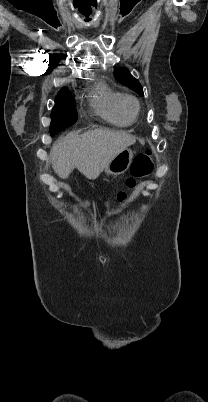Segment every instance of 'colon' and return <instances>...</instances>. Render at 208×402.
<instances>
[{"mask_svg": "<svg viewBox=\"0 0 208 402\" xmlns=\"http://www.w3.org/2000/svg\"><path fill=\"white\" fill-rule=\"evenodd\" d=\"M152 150L146 148L142 153H139L131 163L130 175L125 180V189L120 190L117 194V202L121 205L127 197V193L136 188L138 180L148 177L154 168L151 159Z\"/></svg>", "mask_w": 208, "mask_h": 402, "instance_id": "obj_1", "label": "colon"}]
</instances>
